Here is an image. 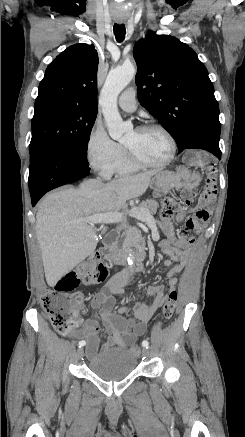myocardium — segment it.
Listing matches in <instances>:
<instances>
[{"instance_id":"obj_1","label":"myocardium","mask_w":245,"mask_h":437,"mask_svg":"<svg viewBox=\"0 0 245 437\" xmlns=\"http://www.w3.org/2000/svg\"><path fill=\"white\" fill-rule=\"evenodd\" d=\"M135 130L136 131L158 130L162 132L169 141L170 153L168 157L162 161L149 162L136 156L127 146L123 144L124 153L130 162H132L133 164L139 167L160 168L169 165L174 160L177 153V142L173 134L166 127L157 123H146L141 126H138Z\"/></svg>"}]
</instances>
